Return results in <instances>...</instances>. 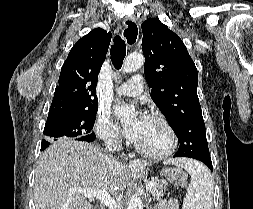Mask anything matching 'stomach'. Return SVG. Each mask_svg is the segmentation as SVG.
I'll list each match as a JSON object with an SVG mask.
<instances>
[{
    "mask_svg": "<svg viewBox=\"0 0 253 209\" xmlns=\"http://www.w3.org/2000/svg\"><path fill=\"white\" fill-rule=\"evenodd\" d=\"M159 176H166V171H159Z\"/></svg>",
    "mask_w": 253,
    "mask_h": 209,
    "instance_id": "0dacf381",
    "label": "stomach"
}]
</instances>
